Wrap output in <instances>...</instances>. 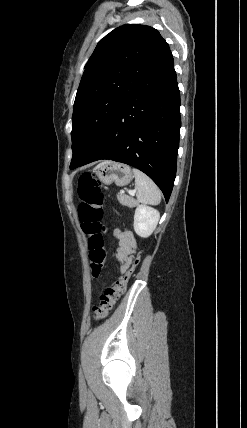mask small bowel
<instances>
[{"label":"small bowel","mask_w":247,"mask_h":428,"mask_svg":"<svg viewBox=\"0 0 247 428\" xmlns=\"http://www.w3.org/2000/svg\"><path fill=\"white\" fill-rule=\"evenodd\" d=\"M114 236L118 240V247L114 253V259L120 264L121 271H125L132 259V254L136 250V240L132 232L128 230L114 231Z\"/></svg>","instance_id":"c3829d8e"}]
</instances>
